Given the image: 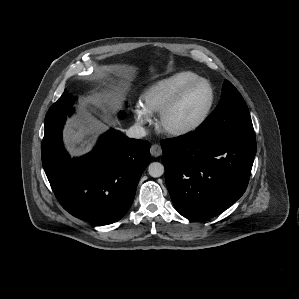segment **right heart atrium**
I'll return each instance as SVG.
<instances>
[{"label":"right heart atrium","mask_w":299,"mask_h":299,"mask_svg":"<svg viewBox=\"0 0 299 299\" xmlns=\"http://www.w3.org/2000/svg\"><path fill=\"white\" fill-rule=\"evenodd\" d=\"M135 119L139 125H147L152 121V114L144 109L141 105H138L135 110Z\"/></svg>","instance_id":"1"}]
</instances>
